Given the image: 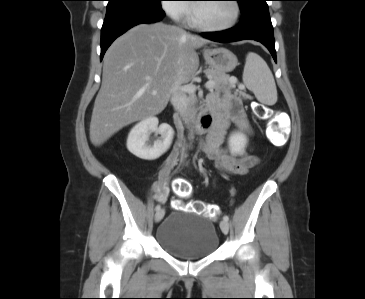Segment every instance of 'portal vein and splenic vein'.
Here are the masks:
<instances>
[{
    "label": "portal vein and splenic vein",
    "instance_id": "obj_1",
    "mask_svg": "<svg viewBox=\"0 0 365 299\" xmlns=\"http://www.w3.org/2000/svg\"><path fill=\"white\" fill-rule=\"evenodd\" d=\"M214 85H215V82L213 80H209L205 86L207 89H213L214 88ZM183 91L189 93V94H193L195 93L196 91V86L193 85V84H188V85H185L183 88H182ZM157 92L156 91H153L152 92V95H156Z\"/></svg>",
    "mask_w": 365,
    "mask_h": 299
}]
</instances>
